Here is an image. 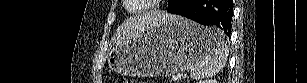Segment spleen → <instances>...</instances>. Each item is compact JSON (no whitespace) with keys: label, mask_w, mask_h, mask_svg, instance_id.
I'll list each match as a JSON object with an SVG mask.
<instances>
[{"label":"spleen","mask_w":307,"mask_h":83,"mask_svg":"<svg viewBox=\"0 0 307 83\" xmlns=\"http://www.w3.org/2000/svg\"><path fill=\"white\" fill-rule=\"evenodd\" d=\"M209 36L212 41V51L192 65L191 77L193 79L212 77L222 70L227 62L228 46L221 32L218 29L209 28Z\"/></svg>","instance_id":"1"}]
</instances>
